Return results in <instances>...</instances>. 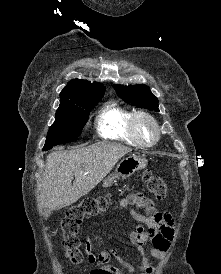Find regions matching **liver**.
<instances>
[{
	"label": "liver",
	"instance_id": "obj_1",
	"mask_svg": "<svg viewBox=\"0 0 221 274\" xmlns=\"http://www.w3.org/2000/svg\"><path fill=\"white\" fill-rule=\"evenodd\" d=\"M129 152V147L99 142L50 153L41 180L38 207L57 210L72 205L94 189Z\"/></svg>",
	"mask_w": 221,
	"mask_h": 274
}]
</instances>
